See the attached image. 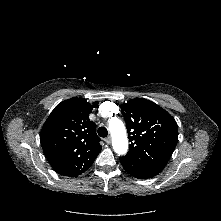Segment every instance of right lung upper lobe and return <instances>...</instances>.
Returning <instances> with one entry per match:
<instances>
[{
	"label": "right lung upper lobe",
	"mask_w": 221,
	"mask_h": 221,
	"mask_svg": "<svg viewBox=\"0 0 221 221\" xmlns=\"http://www.w3.org/2000/svg\"><path fill=\"white\" fill-rule=\"evenodd\" d=\"M93 104L71 98L58 104L40 133V142L53 169L63 176L76 177L85 172L101 151L96 125L89 114Z\"/></svg>",
	"instance_id": "obj_1"
}]
</instances>
